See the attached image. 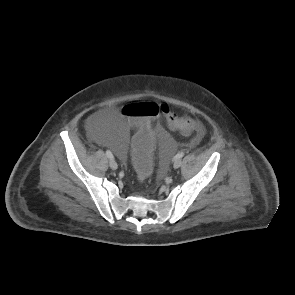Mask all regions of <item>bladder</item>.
<instances>
[{"label":"bladder","instance_id":"bladder-1","mask_svg":"<svg viewBox=\"0 0 295 295\" xmlns=\"http://www.w3.org/2000/svg\"><path fill=\"white\" fill-rule=\"evenodd\" d=\"M154 132L165 154L160 158L157 175L165 178L171 167L170 157L176 155L177 148L169 138L165 123H156ZM81 134L89 142L100 143L112 157H124L130 151V133L125 126L120 128L117 125V118L110 111L90 114L81 125Z\"/></svg>","mask_w":295,"mask_h":295}]
</instances>
